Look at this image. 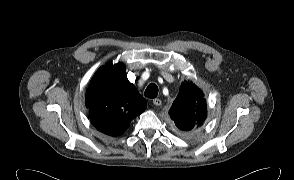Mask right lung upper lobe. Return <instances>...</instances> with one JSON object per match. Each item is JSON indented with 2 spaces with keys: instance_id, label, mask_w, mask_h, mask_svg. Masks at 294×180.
Masks as SVG:
<instances>
[{
  "instance_id": "cb5924a9",
  "label": "right lung upper lobe",
  "mask_w": 294,
  "mask_h": 180,
  "mask_svg": "<svg viewBox=\"0 0 294 180\" xmlns=\"http://www.w3.org/2000/svg\"><path fill=\"white\" fill-rule=\"evenodd\" d=\"M86 106L92 124L111 136L122 134L147 107L146 100L128 81L122 63L98 69L87 90Z\"/></svg>"
}]
</instances>
